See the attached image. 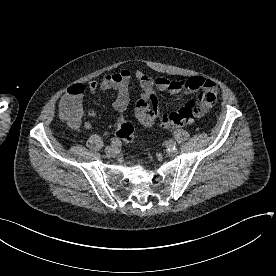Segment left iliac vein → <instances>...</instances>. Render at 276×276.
<instances>
[{
    "label": "left iliac vein",
    "mask_w": 276,
    "mask_h": 276,
    "mask_svg": "<svg viewBox=\"0 0 276 276\" xmlns=\"http://www.w3.org/2000/svg\"><path fill=\"white\" fill-rule=\"evenodd\" d=\"M178 154V149L177 148H172V149H169L168 151V155L171 156V157H174Z\"/></svg>",
    "instance_id": "obj_1"
}]
</instances>
